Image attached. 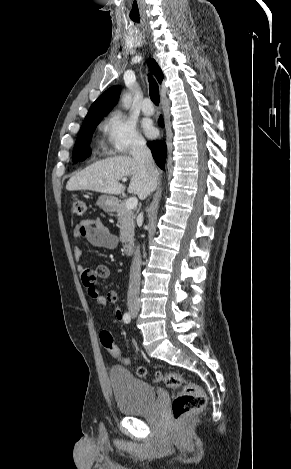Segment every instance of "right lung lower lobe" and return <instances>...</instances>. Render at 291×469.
<instances>
[{"label": "right lung lower lobe", "mask_w": 291, "mask_h": 469, "mask_svg": "<svg viewBox=\"0 0 291 469\" xmlns=\"http://www.w3.org/2000/svg\"><path fill=\"white\" fill-rule=\"evenodd\" d=\"M158 123L160 126H164L162 116H160ZM147 145L151 149L153 158L155 159L157 165L161 169H164L166 159V144L162 141H152L148 142Z\"/></svg>", "instance_id": "right-lung-lower-lobe-1"}]
</instances>
